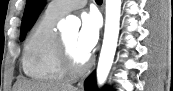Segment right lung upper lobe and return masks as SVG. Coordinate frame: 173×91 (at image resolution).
Returning <instances> with one entry per match:
<instances>
[{
    "label": "right lung upper lobe",
    "instance_id": "1",
    "mask_svg": "<svg viewBox=\"0 0 173 91\" xmlns=\"http://www.w3.org/2000/svg\"><path fill=\"white\" fill-rule=\"evenodd\" d=\"M43 6H44V2H42V3L40 4V6L38 7V9H37V11H36V13H35V15H34L32 24H33V23L35 22V20L37 19V17H38V15H39V13H40V11H41V9H42Z\"/></svg>",
    "mask_w": 173,
    "mask_h": 91
}]
</instances>
